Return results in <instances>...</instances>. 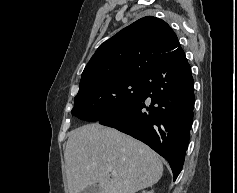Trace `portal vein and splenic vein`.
I'll return each mask as SVG.
<instances>
[{
    "mask_svg": "<svg viewBox=\"0 0 237 193\" xmlns=\"http://www.w3.org/2000/svg\"><path fill=\"white\" fill-rule=\"evenodd\" d=\"M108 170H109V171L111 172V174L114 175V176L117 174L116 171L113 170L112 168H108Z\"/></svg>",
    "mask_w": 237,
    "mask_h": 193,
    "instance_id": "portal-vein-and-splenic-vein-1",
    "label": "portal vein and splenic vein"
}]
</instances>
